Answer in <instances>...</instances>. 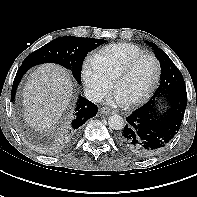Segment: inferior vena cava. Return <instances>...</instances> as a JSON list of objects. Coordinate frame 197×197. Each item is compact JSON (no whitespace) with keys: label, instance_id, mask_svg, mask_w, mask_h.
I'll use <instances>...</instances> for the list:
<instances>
[{"label":"inferior vena cava","instance_id":"602c4592","mask_svg":"<svg viewBox=\"0 0 197 197\" xmlns=\"http://www.w3.org/2000/svg\"><path fill=\"white\" fill-rule=\"evenodd\" d=\"M84 95L89 101L93 103L101 102L103 99L102 93L93 89H85Z\"/></svg>","mask_w":197,"mask_h":197}]
</instances>
